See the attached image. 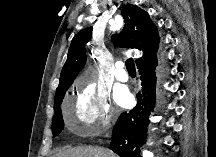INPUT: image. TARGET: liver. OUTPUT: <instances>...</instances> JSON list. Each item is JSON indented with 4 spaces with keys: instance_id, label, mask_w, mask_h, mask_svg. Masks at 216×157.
Listing matches in <instances>:
<instances>
[{
    "instance_id": "liver-1",
    "label": "liver",
    "mask_w": 216,
    "mask_h": 157,
    "mask_svg": "<svg viewBox=\"0 0 216 157\" xmlns=\"http://www.w3.org/2000/svg\"><path fill=\"white\" fill-rule=\"evenodd\" d=\"M55 157H115V154L103 147H76L58 152Z\"/></svg>"
}]
</instances>
